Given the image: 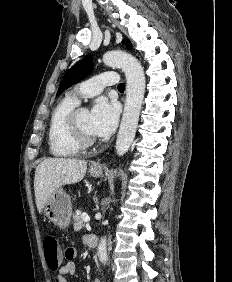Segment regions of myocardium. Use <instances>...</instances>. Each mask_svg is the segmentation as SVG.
<instances>
[{
  "instance_id": "f54148a6",
  "label": "myocardium",
  "mask_w": 232,
  "mask_h": 282,
  "mask_svg": "<svg viewBox=\"0 0 232 282\" xmlns=\"http://www.w3.org/2000/svg\"><path fill=\"white\" fill-rule=\"evenodd\" d=\"M83 109L81 106L74 107L66 118L69 136L80 148H86L96 143V138L86 135L79 125L78 115Z\"/></svg>"
}]
</instances>
